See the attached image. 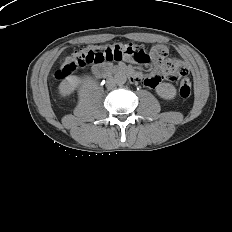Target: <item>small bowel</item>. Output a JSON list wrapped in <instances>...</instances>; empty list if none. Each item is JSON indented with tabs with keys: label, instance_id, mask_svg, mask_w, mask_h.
I'll return each mask as SVG.
<instances>
[{
	"label": "small bowel",
	"instance_id": "1",
	"mask_svg": "<svg viewBox=\"0 0 232 232\" xmlns=\"http://www.w3.org/2000/svg\"><path fill=\"white\" fill-rule=\"evenodd\" d=\"M175 65L178 67V68H184V63L179 60V59H176L174 61ZM165 78V71L164 69L160 66V65H157L156 69H155V72L150 74V75H147L145 77H142V81L144 82V84L146 86H149V87H155L156 85H158L163 79Z\"/></svg>",
	"mask_w": 232,
	"mask_h": 232
}]
</instances>
